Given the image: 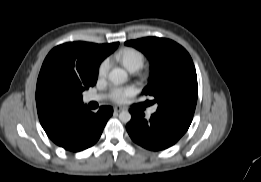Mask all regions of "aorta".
Listing matches in <instances>:
<instances>
[{
    "label": "aorta",
    "instance_id": "aorta-1",
    "mask_svg": "<svg viewBox=\"0 0 261 182\" xmlns=\"http://www.w3.org/2000/svg\"><path fill=\"white\" fill-rule=\"evenodd\" d=\"M109 80L114 84H123L127 81V72L121 68H114L108 75ZM119 119L123 123H128L131 120L129 111L124 110L119 114Z\"/></svg>",
    "mask_w": 261,
    "mask_h": 182
}]
</instances>
